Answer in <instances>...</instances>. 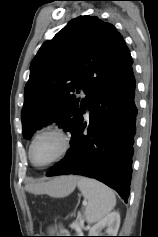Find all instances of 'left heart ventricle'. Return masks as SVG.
<instances>
[{
  "instance_id": "left-heart-ventricle-1",
  "label": "left heart ventricle",
  "mask_w": 158,
  "mask_h": 237,
  "mask_svg": "<svg viewBox=\"0 0 158 237\" xmlns=\"http://www.w3.org/2000/svg\"><path fill=\"white\" fill-rule=\"evenodd\" d=\"M61 138L52 133L40 136L32 150V157L36 164L43 165L55 158L62 149Z\"/></svg>"
}]
</instances>
